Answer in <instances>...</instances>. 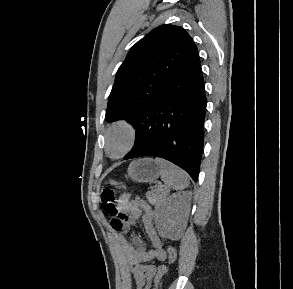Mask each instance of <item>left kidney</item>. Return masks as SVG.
<instances>
[{
    "label": "left kidney",
    "mask_w": 293,
    "mask_h": 289,
    "mask_svg": "<svg viewBox=\"0 0 293 289\" xmlns=\"http://www.w3.org/2000/svg\"><path fill=\"white\" fill-rule=\"evenodd\" d=\"M190 192L176 193L166 198L155 212V224L162 238L177 240L190 211Z\"/></svg>",
    "instance_id": "5707ae66"
}]
</instances>
